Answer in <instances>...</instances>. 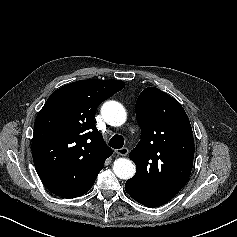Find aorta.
Here are the masks:
<instances>
[{
    "instance_id": "aorta-1",
    "label": "aorta",
    "mask_w": 237,
    "mask_h": 237,
    "mask_svg": "<svg viewBox=\"0 0 237 237\" xmlns=\"http://www.w3.org/2000/svg\"><path fill=\"white\" fill-rule=\"evenodd\" d=\"M104 120L111 126H121L126 121V111L117 101H107L101 108ZM113 171L123 180L132 178L136 172L135 164L126 158H118L114 161Z\"/></svg>"
}]
</instances>
